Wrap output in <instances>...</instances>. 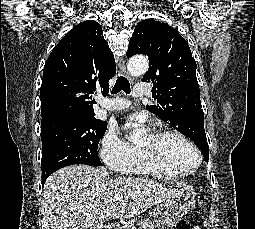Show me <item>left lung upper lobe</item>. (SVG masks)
<instances>
[{"label":"left lung upper lobe","instance_id":"left-lung-upper-lobe-1","mask_svg":"<svg viewBox=\"0 0 255 229\" xmlns=\"http://www.w3.org/2000/svg\"><path fill=\"white\" fill-rule=\"evenodd\" d=\"M149 57V70L142 82L153 83V98L157 105L146 108L187 135L209 159L204 128H199L196 115L203 113L196 78V62L186 40L171 26L145 19L137 24L126 56Z\"/></svg>","mask_w":255,"mask_h":229}]
</instances>
